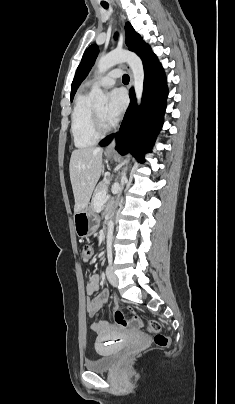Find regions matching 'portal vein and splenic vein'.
<instances>
[{"label":"portal vein and splenic vein","mask_w":235,"mask_h":404,"mask_svg":"<svg viewBox=\"0 0 235 404\" xmlns=\"http://www.w3.org/2000/svg\"><path fill=\"white\" fill-rule=\"evenodd\" d=\"M110 196L106 195L105 192H100L96 195V204L102 205L104 204Z\"/></svg>","instance_id":"portal-vein-and-splenic-vein-1"}]
</instances>
